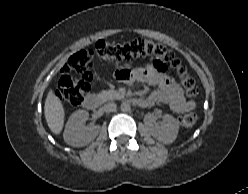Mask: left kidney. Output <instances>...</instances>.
<instances>
[{
    "label": "left kidney",
    "instance_id": "1",
    "mask_svg": "<svg viewBox=\"0 0 248 194\" xmlns=\"http://www.w3.org/2000/svg\"><path fill=\"white\" fill-rule=\"evenodd\" d=\"M179 131L178 121L171 115H164L161 125L150 128V134L164 144H171L176 139Z\"/></svg>",
    "mask_w": 248,
    "mask_h": 194
}]
</instances>
